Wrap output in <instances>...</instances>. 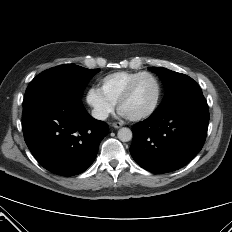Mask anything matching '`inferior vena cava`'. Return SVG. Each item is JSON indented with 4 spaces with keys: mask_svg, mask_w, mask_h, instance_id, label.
<instances>
[{
    "mask_svg": "<svg viewBox=\"0 0 232 232\" xmlns=\"http://www.w3.org/2000/svg\"><path fill=\"white\" fill-rule=\"evenodd\" d=\"M92 116L98 120H105L108 117V113L106 111H102L100 109H93Z\"/></svg>",
    "mask_w": 232,
    "mask_h": 232,
    "instance_id": "1",
    "label": "inferior vena cava"
}]
</instances>
